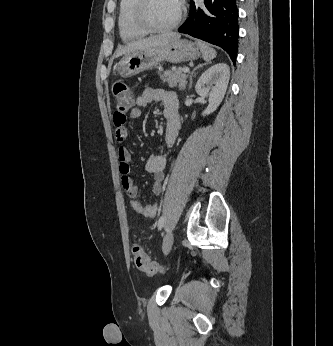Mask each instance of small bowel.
I'll use <instances>...</instances> for the list:
<instances>
[{
	"label": "small bowel",
	"instance_id": "obj_1",
	"mask_svg": "<svg viewBox=\"0 0 333 346\" xmlns=\"http://www.w3.org/2000/svg\"><path fill=\"white\" fill-rule=\"evenodd\" d=\"M151 102H159L163 104V115L167 121V129L164 138L166 146L173 143L179 134L181 128V119L179 114V98L176 92L164 88L147 86L142 94L135 98V106L129 112V118L136 120L141 115V107H145ZM125 119L114 117V125L116 127V137L119 142H123L127 138V130L124 126ZM119 169L121 173L122 186L130 197L131 208L139 215L146 218H153L157 213V205H145L138 199L139 189L131 178V153L121 146L118 149ZM166 159L162 154L150 156L147 159L145 168L152 175V192L158 196L162 192V183L165 176Z\"/></svg>",
	"mask_w": 333,
	"mask_h": 346
}]
</instances>
